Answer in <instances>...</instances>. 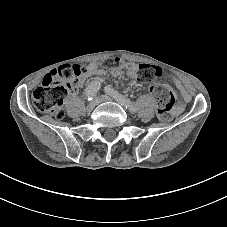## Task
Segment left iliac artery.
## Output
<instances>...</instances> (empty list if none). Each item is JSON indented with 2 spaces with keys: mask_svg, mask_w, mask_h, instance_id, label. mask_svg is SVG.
I'll return each mask as SVG.
<instances>
[{
  "mask_svg": "<svg viewBox=\"0 0 227 227\" xmlns=\"http://www.w3.org/2000/svg\"><path fill=\"white\" fill-rule=\"evenodd\" d=\"M105 93L112 96L114 99L118 101H122L124 103V106L130 110V112L135 113L137 111L136 107L132 104V102L122 96L118 91L114 90L111 86L105 87Z\"/></svg>",
  "mask_w": 227,
  "mask_h": 227,
  "instance_id": "44dca946",
  "label": "left iliac artery"
}]
</instances>
